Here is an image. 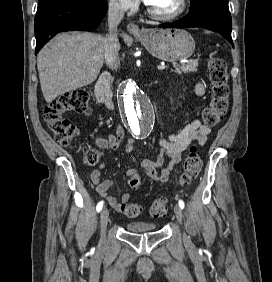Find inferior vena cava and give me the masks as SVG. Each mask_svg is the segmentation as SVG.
I'll return each mask as SVG.
<instances>
[{
  "instance_id": "1",
  "label": "inferior vena cava",
  "mask_w": 272,
  "mask_h": 282,
  "mask_svg": "<svg viewBox=\"0 0 272 282\" xmlns=\"http://www.w3.org/2000/svg\"><path fill=\"white\" fill-rule=\"evenodd\" d=\"M126 6L123 3L112 1L108 7V28L109 34L105 37L104 41V57L107 66L110 69L117 71L120 65L118 56V38L117 26L120 24L124 17Z\"/></svg>"
}]
</instances>
